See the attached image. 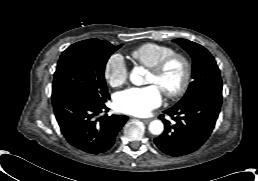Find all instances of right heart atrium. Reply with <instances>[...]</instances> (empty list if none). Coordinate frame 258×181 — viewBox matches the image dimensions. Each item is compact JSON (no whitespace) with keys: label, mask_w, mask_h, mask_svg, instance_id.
<instances>
[{"label":"right heart atrium","mask_w":258,"mask_h":181,"mask_svg":"<svg viewBox=\"0 0 258 181\" xmlns=\"http://www.w3.org/2000/svg\"><path fill=\"white\" fill-rule=\"evenodd\" d=\"M104 76L111 86H120L127 80L128 68L123 57L119 54L112 55L105 64Z\"/></svg>","instance_id":"d8ad5b80"}]
</instances>
